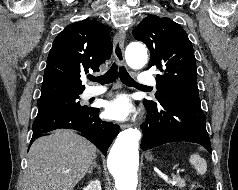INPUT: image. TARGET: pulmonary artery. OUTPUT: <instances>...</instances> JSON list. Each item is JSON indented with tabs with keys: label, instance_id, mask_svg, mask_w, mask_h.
Here are the masks:
<instances>
[{
	"label": "pulmonary artery",
	"instance_id": "obj_1",
	"mask_svg": "<svg viewBox=\"0 0 238 190\" xmlns=\"http://www.w3.org/2000/svg\"><path fill=\"white\" fill-rule=\"evenodd\" d=\"M139 83L143 86H153L155 85V79L149 73L141 74L139 78ZM106 91L105 87H89L85 90V98H91L103 94Z\"/></svg>",
	"mask_w": 238,
	"mask_h": 190
}]
</instances>
